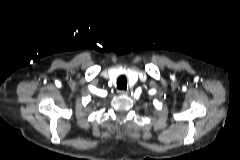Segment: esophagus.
I'll list each match as a JSON object with an SVG mask.
<instances>
[{"instance_id":"1","label":"esophagus","mask_w":240,"mask_h":160,"mask_svg":"<svg viewBox=\"0 0 240 160\" xmlns=\"http://www.w3.org/2000/svg\"><path fill=\"white\" fill-rule=\"evenodd\" d=\"M120 94H122V95H128V94H129V91H128V90H121V91H120Z\"/></svg>"}]
</instances>
